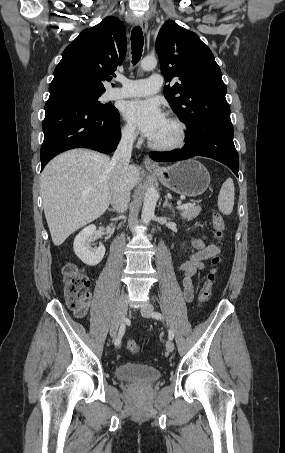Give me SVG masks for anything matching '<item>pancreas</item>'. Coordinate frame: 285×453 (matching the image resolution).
<instances>
[{"instance_id":"cf45deb5","label":"pancreas","mask_w":285,"mask_h":453,"mask_svg":"<svg viewBox=\"0 0 285 453\" xmlns=\"http://www.w3.org/2000/svg\"><path fill=\"white\" fill-rule=\"evenodd\" d=\"M180 211H181L180 215L182 216L183 219L192 220L199 215L201 207L192 205L188 208L180 209Z\"/></svg>"}]
</instances>
